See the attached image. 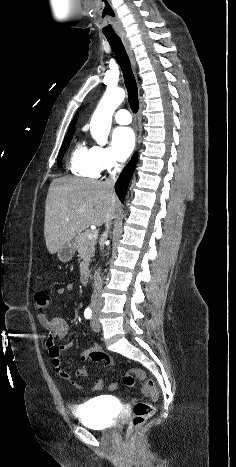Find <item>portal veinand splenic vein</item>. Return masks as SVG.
<instances>
[{
  "instance_id": "1",
  "label": "portal vein and splenic vein",
  "mask_w": 236,
  "mask_h": 467,
  "mask_svg": "<svg viewBox=\"0 0 236 467\" xmlns=\"http://www.w3.org/2000/svg\"><path fill=\"white\" fill-rule=\"evenodd\" d=\"M97 236H98V231L95 229L88 233L87 238L93 239V238H96Z\"/></svg>"
}]
</instances>
